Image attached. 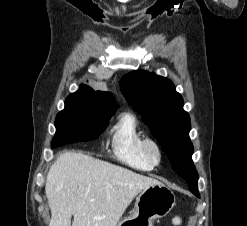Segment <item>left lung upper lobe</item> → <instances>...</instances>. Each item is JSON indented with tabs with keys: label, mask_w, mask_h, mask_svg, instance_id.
Instances as JSON below:
<instances>
[{
	"label": "left lung upper lobe",
	"mask_w": 247,
	"mask_h": 226,
	"mask_svg": "<svg viewBox=\"0 0 247 226\" xmlns=\"http://www.w3.org/2000/svg\"><path fill=\"white\" fill-rule=\"evenodd\" d=\"M128 103L142 115L152 134L168 154L176 172L192 168L193 145L189 138L190 117L171 80L137 70L120 81Z\"/></svg>",
	"instance_id": "1"
}]
</instances>
